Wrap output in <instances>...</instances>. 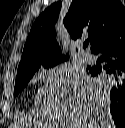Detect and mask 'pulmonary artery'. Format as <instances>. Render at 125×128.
<instances>
[{"mask_svg": "<svg viewBox=\"0 0 125 128\" xmlns=\"http://www.w3.org/2000/svg\"><path fill=\"white\" fill-rule=\"evenodd\" d=\"M79 59L84 64H89V63H91L93 61L92 56L89 55V54H86V53H81Z\"/></svg>", "mask_w": 125, "mask_h": 128, "instance_id": "pulmonary-artery-1", "label": "pulmonary artery"}]
</instances>
